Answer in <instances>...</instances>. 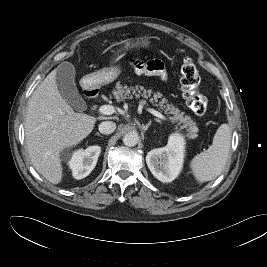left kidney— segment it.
Here are the masks:
<instances>
[{
	"instance_id": "1",
	"label": "left kidney",
	"mask_w": 267,
	"mask_h": 267,
	"mask_svg": "<svg viewBox=\"0 0 267 267\" xmlns=\"http://www.w3.org/2000/svg\"><path fill=\"white\" fill-rule=\"evenodd\" d=\"M184 144L183 136L174 133L165 147L148 152L146 163L154 177L166 183L178 177L183 168Z\"/></svg>"
}]
</instances>
